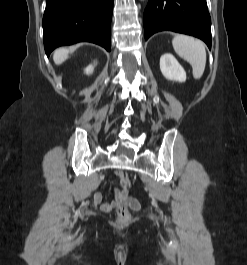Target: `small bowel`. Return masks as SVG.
<instances>
[{
    "instance_id": "obj_1",
    "label": "small bowel",
    "mask_w": 247,
    "mask_h": 265,
    "mask_svg": "<svg viewBox=\"0 0 247 265\" xmlns=\"http://www.w3.org/2000/svg\"><path fill=\"white\" fill-rule=\"evenodd\" d=\"M94 204L104 212H109L118 205H126L133 211H138L140 208V205L136 199L129 196L127 191L120 189L116 190L115 199L112 202H104L102 194L100 192H96L94 194Z\"/></svg>"
}]
</instances>
